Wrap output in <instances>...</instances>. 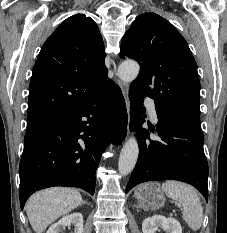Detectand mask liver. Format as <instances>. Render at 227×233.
I'll return each instance as SVG.
<instances>
[{"label":"liver","instance_id":"6515ba94","mask_svg":"<svg viewBox=\"0 0 227 233\" xmlns=\"http://www.w3.org/2000/svg\"><path fill=\"white\" fill-rule=\"evenodd\" d=\"M81 194L70 188H49L33 194L26 203L29 222L36 233H43L59 217L82 204Z\"/></svg>","mask_w":227,"mask_h":233}]
</instances>
